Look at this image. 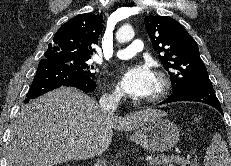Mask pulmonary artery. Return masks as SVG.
Segmentation results:
<instances>
[{
	"instance_id": "e3ab8cb5",
	"label": "pulmonary artery",
	"mask_w": 231,
	"mask_h": 166,
	"mask_svg": "<svg viewBox=\"0 0 231 166\" xmlns=\"http://www.w3.org/2000/svg\"><path fill=\"white\" fill-rule=\"evenodd\" d=\"M144 49L142 40L135 39L126 48L120 49L116 52V57L119 59H129Z\"/></svg>"
}]
</instances>
